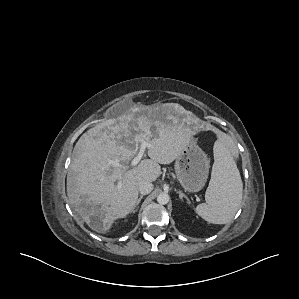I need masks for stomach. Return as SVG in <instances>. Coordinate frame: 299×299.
Instances as JSON below:
<instances>
[{
    "label": "stomach",
    "instance_id": "0dacf381",
    "mask_svg": "<svg viewBox=\"0 0 299 299\" xmlns=\"http://www.w3.org/2000/svg\"><path fill=\"white\" fill-rule=\"evenodd\" d=\"M209 159L207 155L190 140L176 159L174 168L177 178L188 192L201 190L208 178Z\"/></svg>",
    "mask_w": 299,
    "mask_h": 299
}]
</instances>
